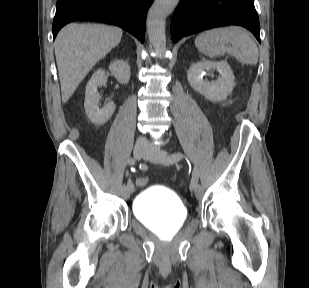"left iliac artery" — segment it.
Listing matches in <instances>:
<instances>
[{"label": "left iliac artery", "mask_w": 309, "mask_h": 288, "mask_svg": "<svg viewBox=\"0 0 309 288\" xmlns=\"http://www.w3.org/2000/svg\"><path fill=\"white\" fill-rule=\"evenodd\" d=\"M183 157H184L183 154H181L179 152L172 153L171 155H169L167 157V163L173 164V163L179 161ZM198 178H199V172H198L197 168H194L193 172H192V180H191V184H190V190L195 189V186L198 184Z\"/></svg>", "instance_id": "44dca946"}]
</instances>
